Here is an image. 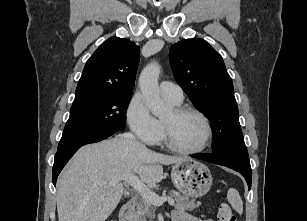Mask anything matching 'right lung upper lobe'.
I'll return each instance as SVG.
<instances>
[{
    "mask_svg": "<svg viewBox=\"0 0 307 221\" xmlns=\"http://www.w3.org/2000/svg\"><path fill=\"white\" fill-rule=\"evenodd\" d=\"M140 48L132 41L111 37L88 59L74 102L110 93H132Z\"/></svg>",
    "mask_w": 307,
    "mask_h": 221,
    "instance_id": "cb5924a9",
    "label": "right lung upper lobe"
}]
</instances>
